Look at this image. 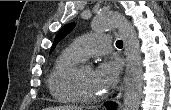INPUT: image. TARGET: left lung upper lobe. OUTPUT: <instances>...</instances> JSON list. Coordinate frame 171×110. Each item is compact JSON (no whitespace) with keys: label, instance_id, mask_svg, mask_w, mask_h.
<instances>
[{"label":"left lung upper lobe","instance_id":"5c2ea615","mask_svg":"<svg viewBox=\"0 0 171 110\" xmlns=\"http://www.w3.org/2000/svg\"><path fill=\"white\" fill-rule=\"evenodd\" d=\"M74 25H75L74 23H69L60 29V31L57 33L54 39L50 53L54 50V48L56 47V44L73 29Z\"/></svg>","mask_w":171,"mask_h":110}]
</instances>
